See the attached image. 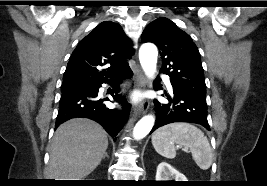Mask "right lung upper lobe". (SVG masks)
<instances>
[{"instance_id":"right-lung-upper-lobe-1","label":"right lung upper lobe","mask_w":267,"mask_h":186,"mask_svg":"<svg viewBox=\"0 0 267 186\" xmlns=\"http://www.w3.org/2000/svg\"><path fill=\"white\" fill-rule=\"evenodd\" d=\"M133 54L131 40L121 26L112 21L102 22L73 51L62 86L108 79L128 66L125 60ZM105 64H110V67L99 71L98 67Z\"/></svg>"}]
</instances>
